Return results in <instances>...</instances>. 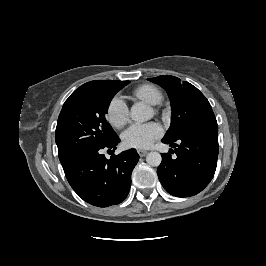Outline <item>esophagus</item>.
I'll list each match as a JSON object with an SVG mask.
<instances>
[{
  "label": "esophagus",
  "instance_id": "obj_1",
  "mask_svg": "<svg viewBox=\"0 0 266 266\" xmlns=\"http://www.w3.org/2000/svg\"><path fill=\"white\" fill-rule=\"evenodd\" d=\"M137 153L140 157H144L148 152L145 150H137Z\"/></svg>",
  "mask_w": 266,
  "mask_h": 266
}]
</instances>
